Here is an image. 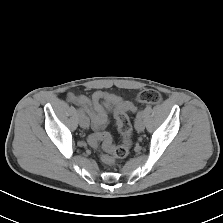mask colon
<instances>
[{
    "instance_id": "1",
    "label": "colon",
    "mask_w": 223,
    "mask_h": 223,
    "mask_svg": "<svg viewBox=\"0 0 223 223\" xmlns=\"http://www.w3.org/2000/svg\"><path fill=\"white\" fill-rule=\"evenodd\" d=\"M161 101L160 94L152 89H144L136 96V102L140 104L157 105ZM136 104L133 102L120 103L115 111L117 127L122 143L115 146L112 143L110 134L100 132L90 137V144L100 152L103 162L109 165H116L119 159L125 158L132 145V125L127 111H134Z\"/></svg>"
}]
</instances>
